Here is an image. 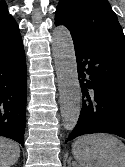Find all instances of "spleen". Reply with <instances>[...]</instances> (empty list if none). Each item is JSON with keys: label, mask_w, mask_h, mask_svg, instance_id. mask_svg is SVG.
<instances>
[{"label": "spleen", "mask_w": 125, "mask_h": 167, "mask_svg": "<svg viewBox=\"0 0 125 167\" xmlns=\"http://www.w3.org/2000/svg\"><path fill=\"white\" fill-rule=\"evenodd\" d=\"M72 154L80 167H125V145L108 134L79 137L72 145Z\"/></svg>", "instance_id": "obj_1"}]
</instances>
